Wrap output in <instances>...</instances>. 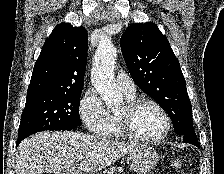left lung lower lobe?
<instances>
[{"label": "left lung lower lobe", "mask_w": 224, "mask_h": 174, "mask_svg": "<svg viewBox=\"0 0 224 174\" xmlns=\"http://www.w3.org/2000/svg\"><path fill=\"white\" fill-rule=\"evenodd\" d=\"M184 142L192 143L193 145L199 147V142L197 140V137L194 135H184L181 136Z\"/></svg>", "instance_id": "0a47b994"}]
</instances>
